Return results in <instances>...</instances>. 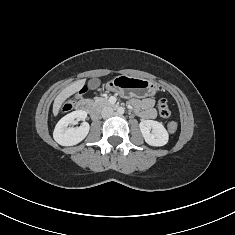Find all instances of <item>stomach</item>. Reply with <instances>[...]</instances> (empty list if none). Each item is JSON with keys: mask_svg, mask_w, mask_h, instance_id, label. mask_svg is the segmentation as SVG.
<instances>
[{"mask_svg": "<svg viewBox=\"0 0 235 235\" xmlns=\"http://www.w3.org/2000/svg\"><path fill=\"white\" fill-rule=\"evenodd\" d=\"M109 91L118 93L122 97L145 98L154 96L158 90V84L139 77L119 75L106 84Z\"/></svg>", "mask_w": 235, "mask_h": 235, "instance_id": "stomach-1", "label": "stomach"}]
</instances>
